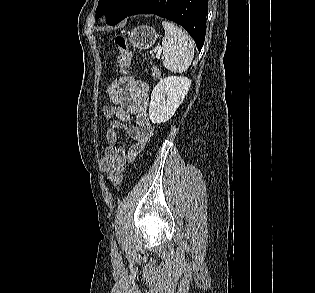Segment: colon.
I'll list each match as a JSON object with an SVG mask.
<instances>
[{"instance_id": "obj_1", "label": "colon", "mask_w": 315, "mask_h": 293, "mask_svg": "<svg viewBox=\"0 0 315 293\" xmlns=\"http://www.w3.org/2000/svg\"><path fill=\"white\" fill-rule=\"evenodd\" d=\"M115 43L119 48L120 54L118 56V63L121 68V72L124 76H128L129 74V67H130V60H131V51L128 47L126 37L124 35H117L115 37ZM109 87L106 88L107 94H112L113 92H117L119 90L120 80L119 78H110L109 80ZM123 179V174L116 173L113 174L109 181L114 187H119Z\"/></svg>"}]
</instances>
